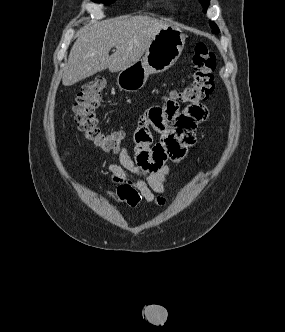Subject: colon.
Returning a JSON list of instances; mask_svg holds the SVG:
<instances>
[{
  "instance_id": "colon-1",
  "label": "colon",
  "mask_w": 285,
  "mask_h": 332,
  "mask_svg": "<svg viewBox=\"0 0 285 332\" xmlns=\"http://www.w3.org/2000/svg\"><path fill=\"white\" fill-rule=\"evenodd\" d=\"M215 68V54L205 43H197L192 55L190 83L184 89L172 92L169 96H176L177 103L189 106L207 99L214 90ZM104 88L105 81L102 79L91 81L81 88L74 104L75 120L78 129L95 147L104 152H116L125 138V133L123 131L104 132L95 114Z\"/></svg>"
}]
</instances>
